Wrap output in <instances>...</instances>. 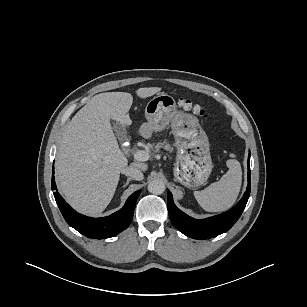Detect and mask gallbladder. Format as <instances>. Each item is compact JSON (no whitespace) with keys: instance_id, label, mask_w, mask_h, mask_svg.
<instances>
[{"instance_id":"obj_1","label":"gallbladder","mask_w":307,"mask_h":307,"mask_svg":"<svg viewBox=\"0 0 307 307\" xmlns=\"http://www.w3.org/2000/svg\"><path fill=\"white\" fill-rule=\"evenodd\" d=\"M112 128L116 132V135L123 140L126 137V130L124 126H122L120 123L113 121L112 122Z\"/></svg>"}]
</instances>
